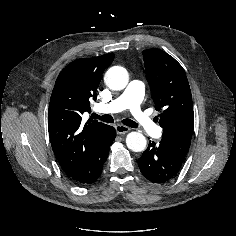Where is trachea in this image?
<instances>
[{
  "instance_id": "obj_1",
  "label": "trachea",
  "mask_w": 236,
  "mask_h": 236,
  "mask_svg": "<svg viewBox=\"0 0 236 236\" xmlns=\"http://www.w3.org/2000/svg\"><path fill=\"white\" fill-rule=\"evenodd\" d=\"M91 118L92 119H99V120H101L103 122H106V123H113L114 122V119L111 115L100 116V115H97L96 113H92ZM122 123L124 125H127V126L132 127V128H137L138 127V124L135 123L134 121L130 120V119H124V120H122Z\"/></svg>"
}]
</instances>
